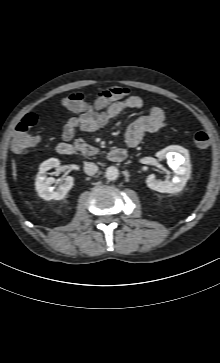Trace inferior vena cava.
Listing matches in <instances>:
<instances>
[{
  "instance_id": "inferior-vena-cava-1",
  "label": "inferior vena cava",
  "mask_w": 220,
  "mask_h": 363,
  "mask_svg": "<svg viewBox=\"0 0 220 363\" xmlns=\"http://www.w3.org/2000/svg\"><path fill=\"white\" fill-rule=\"evenodd\" d=\"M98 171V166L92 162H86L84 164V172L87 174V175H94L95 173H97Z\"/></svg>"
}]
</instances>
